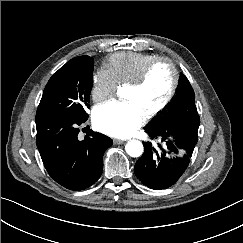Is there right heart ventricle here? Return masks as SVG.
<instances>
[{"label":"right heart ventricle","instance_id":"1","mask_svg":"<svg viewBox=\"0 0 243 243\" xmlns=\"http://www.w3.org/2000/svg\"><path fill=\"white\" fill-rule=\"evenodd\" d=\"M157 57L150 53L118 52L105 60V66L118 86H124L135 79L148 62Z\"/></svg>","mask_w":243,"mask_h":243}]
</instances>
